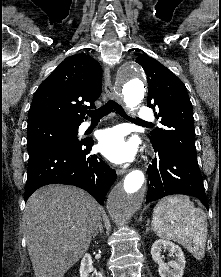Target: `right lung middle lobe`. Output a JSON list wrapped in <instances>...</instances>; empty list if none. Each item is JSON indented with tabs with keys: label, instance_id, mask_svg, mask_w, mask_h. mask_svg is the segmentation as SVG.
I'll use <instances>...</instances> for the list:
<instances>
[{
	"label": "right lung middle lobe",
	"instance_id": "right-lung-middle-lobe-1",
	"mask_svg": "<svg viewBox=\"0 0 221 277\" xmlns=\"http://www.w3.org/2000/svg\"><path fill=\"white\" fill-rule=\"evenodd\" d=\"M79 125L62 122H44L28 125L27 149L29 156L57 145L78 141Z\"/></svg>",
	"mask_w": 221,
	"mask_h": 277
}]
</instances>
